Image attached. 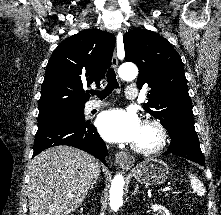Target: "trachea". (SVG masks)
Wrapping results in <instances>:
<instances>
[{
	"instance_id": "trachea-1",
	"label": "trachea",
	"mask_w": 221,
	"mask_h": 215,
	"mask_svg": "<svg viewBox=\"0 0 221 215\" xmlns=\"http://www.w3.org/2000/svg\"><path fill=\"white\" fill-rule=\"evenodd\" d=\"M107 87L102 91H92V95H97L100 99L106 98L114 89L119 88L114 69L110 68L107 72Z\"/></svg>"
}]
</instances>
